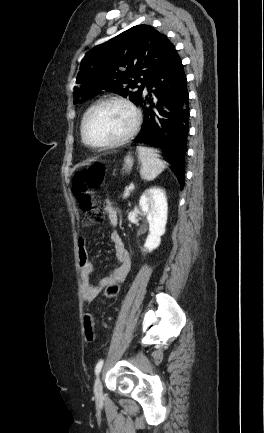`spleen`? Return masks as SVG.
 <instances>
[{
    "instance_id": "1",
    "label": "spleen",
    "mask_w": 264,
    "mask_h": 433,
    "mask_svg": "<svg viewBox=\"0 0 264 433\" xmlns=\"http://www.w3.org/2000/svg\"><path fill=\"white\" fill-rule=\"evenodd\" d=\"M137 150L141 177L146 181L154 180L166 168V162L159 158L155 149L138 146Z\"/></svg>"
}]
</instances>
